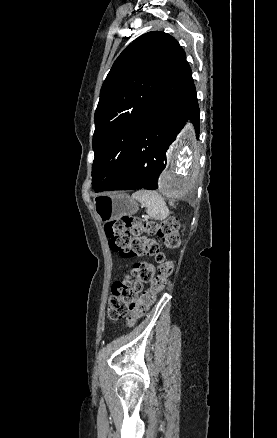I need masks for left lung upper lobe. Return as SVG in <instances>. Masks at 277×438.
<instances>
[{"label": "left lung upper lobe", "mask_w": 277, "mask_h": 438, "mask_svg": "<svg viewBox=\"0 0 277 438\" xmlns=\"http://www.w3.org/2000/svg\"><path fill=\"white\" fill-rule=\"evenodd\" d=\"M150 98L167 100L198 115L192 72L184 50L164 32L141 35L114 62L95 111L92 186L104 191L123 172L133 149L138 121Z\"/></svg>", "instance_id": "1"}]
</instances>
